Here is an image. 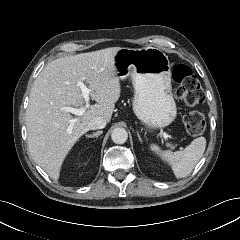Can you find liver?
Masks as SVG:
<instances>
[{"label": "liver", "instance_id": "6515ba94", "mask_svg": "<svg viewBox=\"0 0 240 240\" xmlns=\"http://www.w3.org/2000/svg\"><path fill=\"white\" fill-rule=\"evenodd\" d=\"M120 47L62 57L50 62L34 81L26 110L28 148L34 161L54 180L60 176L67 154L88 130V122L100 116L110 122L121 93L114 56ZM78 81L93 92L83 115L73 118L64 107L84 108ZM76 122L70 125V121Z\"/></svg>", "mask_w": 240, "mask_h": 240}]
</instances>
